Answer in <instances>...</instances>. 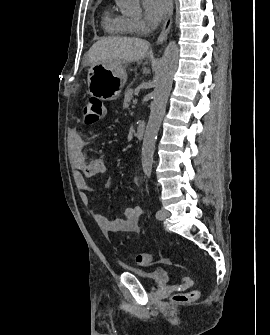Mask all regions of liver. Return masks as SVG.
I'll return each instance as SVG.
<instances>
[{
    "mask_svg": "<svg viewBox=\"0 0 270 335\" xmlns=\"http://www.w3.org/2000/svg\"><path fill=\"white\" fill-rule=\"evenodd\" d=\"M149 42L140 38H100L93 44L87 56L89 64H103L116 68L123 60L138 62L147 56Z\"/></svg>",
    "mask_w": 270,
    "mask_h": 335,
    "instance_id": "1",
    "label": "liver"
}]
</instances>
